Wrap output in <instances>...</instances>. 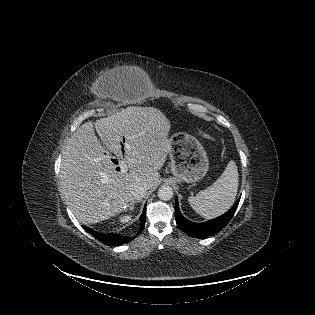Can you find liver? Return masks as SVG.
I'll list each match as a JSON object with an SVG mask.
<instances>
[{"mask_svg": "<svg viewBox=\"0 0 315 315\" xmlns=\"http://www.w3.org/2000/svg\"><path fill=\"white\" fill-rule=\"evenodd\" d=\"M170 128V121L159 109L140 106L82 124L67 141L60 171L63 196L75 217L88 224L107 220L134 200L137 185L157 186L158 170L171 150ZM95 130L120 167L126 164L129 172L115 170Z\"/></svg>", "mask_w": 315, "mask_h": 315, "instance_id": "6515ba94", "label": "liver"}]
</instances>
